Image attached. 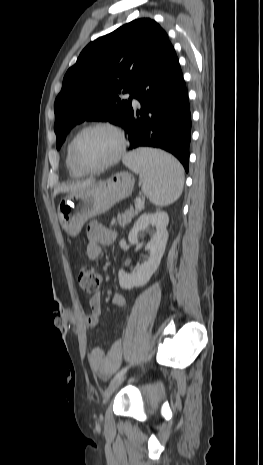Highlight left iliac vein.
I'll use <instances>...</instances> for the list:
<instances>
[{"mask_svg":"<svg viewBox=\"0 0 263 465\" xmlns=\"http://www.w3.org/2000/svg\"><path fill=\"white\" fill-rule=\"evenodd\" d=\"M126 376L122 375L121 377L113 380L104 393V400L107 402L111 395L116 391V389L122 384Z\"/></svg>","mask_w":263,"mask_h":465,"instance_id":"left-iliac-vein-1","label":"left iliac vein"}]
</instances>
